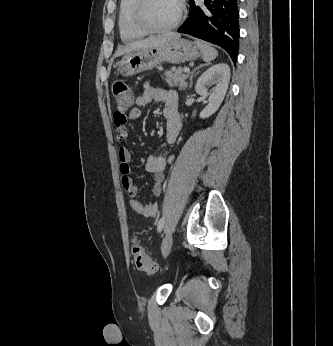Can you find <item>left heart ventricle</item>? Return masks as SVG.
Masks as SVG:
<instances>
[{"label": "left heart ventricle", "instance_id": "left-heart-ventricle-1", "mask_svg": "<svg viewBox=\"0 0 333 346\" xmlns=\"http://www.w3.org/2000/svg\"><path fill=\"white\" fill-rule=\"evenodd\" d=\"M178 10V0H149L147 17L157 27L172 22Z\"/></svg>", "mask_w": 333, "mask_h": 346}]
</instances>
